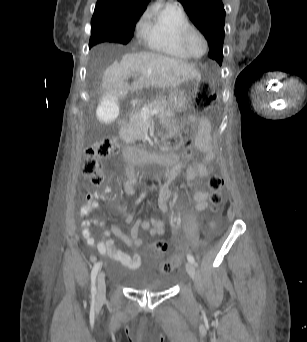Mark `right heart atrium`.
<instances>
[{
    "label": "right heart atrium",
    "mask_w": 307,
    "mask_h": 342,
    "mask_svg": "<svg viewBox=\"0 0 307 342\" xmlns=\"http://www.w3.org/2000/svg\"><path fill=\"white\" fill-rule=\"evenodd\" d=\"M131 34L133 38H138L145 35H149L151 33L146 28L143 20H139L133 25Z\"/></svg>",
    "instance_id": "right-heart-atrium-1"
}]
</instances>
